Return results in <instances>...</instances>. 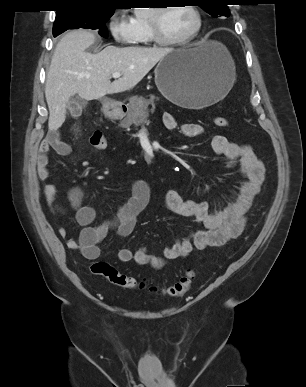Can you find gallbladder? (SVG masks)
<instances>
[{
	"instance_id": "bac80fb5",
	"label": "gallbladder",
	"mask_w": 306,
	"mask_h": 387,
	"mask_svg": "<svg viewBox=\"0 0 306 387\" xmlns=\"http://www.w3.org/2000/svg\"><path fill=\"white\" fill-rule=\"evenodd\" d=\"M86 101L78 96L76 97H70V99L67 102V108L70 111H73L77 108H79L80 105H85Z\"/></svg>"
}]
</instances>
